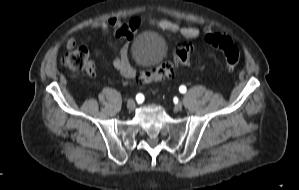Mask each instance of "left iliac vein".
Segmentation results:
<instances>
[{
  "label": "left iliac vein",
  "instance_id": "4c4485c4",
  "mask_svg": "<svg viewBox=\"0 0 299 190\" xmlns=\"http://www.w3.org/2000/svg\"><path fill=\"white\" fill-rule=\"evenodd\" d=\"M182 107H183V104L181 102H178L174 105V109L177 111L181 110Z\"/></svg>",
  "mask_w": 299,
  "mask_h": 190
}]
</instances>
